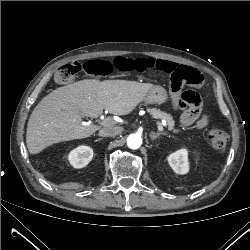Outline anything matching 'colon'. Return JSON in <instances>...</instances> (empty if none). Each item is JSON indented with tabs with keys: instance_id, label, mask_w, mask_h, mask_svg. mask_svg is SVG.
I'll use <instances>...</instances> for the list:
<instances>
[{
	"instance_id": "colon-1",
	"label": "colon",
	"mask_w": 250,
	"mask_h": 250,
	"mask_svg": "<svg viewBox=\"0 0 250 250\" xmlns=\"http://www.w3.org/2000/svg\"><path fill=\"white\" fill-rule=\"evenodd\" d=\"M116 68L121 71H132L136 68V60L119 57L114 60H91L81 65L77 62L69 63L58 68L54 75V80L58 84H69L75 76L83 69L91 76H105ZM171 86L180 88L187 85L189 88L182 93V102L196 107L201 104V97L196 88L201 86V74L192 67L179 66L171 73ZM228 133L219 127H213L207 132V140L215 150H222L228 143Z\"/></svg>"
}]
</instances>
